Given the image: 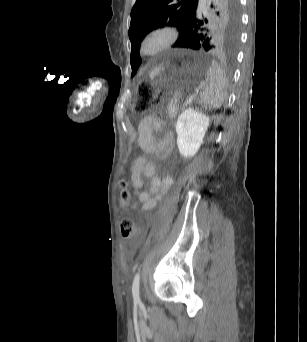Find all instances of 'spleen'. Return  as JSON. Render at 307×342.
Returning <instances> with one entry per match:
<instances>
[{
    "mask_svg": "<svg viewBox=\"0 0 307 342\" xmlns=\"http://www.w3.org/2000/svg\"><path fill=\"white\" fill-rule=\"evenodd\" d=\"M210 62L213 64L207 72L206 85L199 96V100L204 104L205 110L220 108L227 96L226 76L214 58H211Z\"/></svg>",
    "mask_w": 307,
    "mask_h": 342,
    "instance_id": "1",
    "label": "spleen"
}]
</instances>
